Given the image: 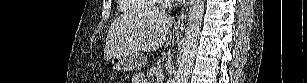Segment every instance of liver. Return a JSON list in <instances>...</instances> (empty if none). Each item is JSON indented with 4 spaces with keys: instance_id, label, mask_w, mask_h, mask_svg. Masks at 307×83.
<instances>
[{
    "instance_id": "1",
    "label": "liver",
    "mask_w": 307,
    "mask_h": 83,
    "mask_svg": "<svg viewBox=\"0 0 307 83\" xmlns=\"http://www.w3.org/2000/svg\"><path fill=\"white\" fill-rule=\"evenodd\" d=\"M173 23V17L151 10L117 18L107 34L105 60L117 55L139 54L159 49Z\"/></svg>"
}]
</instances>
